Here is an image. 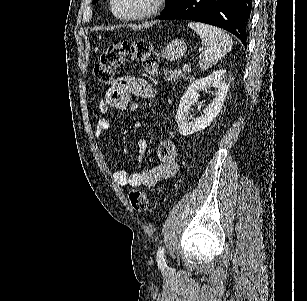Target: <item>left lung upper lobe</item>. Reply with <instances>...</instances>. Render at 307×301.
<instances>
[{
  "label": "left lung upper lobe",
  "instance_id": "obj_1",
  "mask_svg": "<svg viewBox=\"0 0 307 301\" xmlns=\"http://www.w3.org/2000/svg\"><path fill=\"white\" fill-rule=\"evenodd\" d=\"M98 0H93V4L96 3ZM177 2H179V0H167V5L165 7V9L163 10V12H165L166 10H168L169 8H171L172 6H174ZM162 12V13H163Z\"/></svg>",
  "mask_w": 307,
  "mask_h": 301
}]
</instances>
